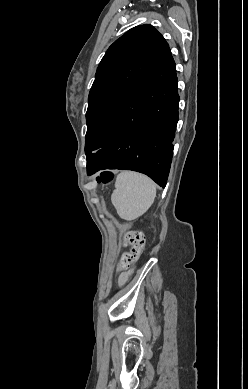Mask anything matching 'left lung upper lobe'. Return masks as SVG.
<instances>
[{
	"label": "left lung upper lobe",
	"instance_id": "left-lung-upper-lobe-1",
	"mask_svg": "<svg viewBox=\"0 0 248 389\" xmlns=\"http://www.w3.org/2000/svg\"><path fill=\"white\" fill-rule=\"evenodd\" d=\"M169 48L163 36L151 25L136 26L117 39L102 58L88 97L86 112L87 160L94 150L104 147L97 122Z\"/></svg>",
	"mask_w": 248,
	"mask_h": 389
}]
</instances>
